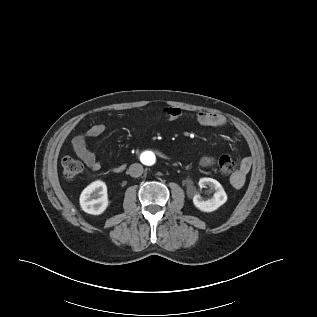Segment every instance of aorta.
I'll use <instances>...</instances> for the list:
<instances>
[{
	"label": "aorta",
	"instance_id": "1",
	"mask_svg": "<svg viewBox=\"0 0 317 317\" xmlns=\"http://www.w3.org/2000/svg\"><path fill=\"white\" fill-rule=\"evenodd\" d=\"M141 161L146 166H153L156 163V156L153 152H144L141 156Z\"/></svg>",
	"mask_w": 317,
	"mask_h": 317
}]
</instances>
